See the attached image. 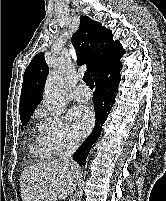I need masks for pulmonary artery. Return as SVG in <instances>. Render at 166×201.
Listing matches in <instances>:
<instances>
[{"label": "pulmonary artery", "instance_id": "pulmonary-artery-1", "mask_svg": "<svg viewBox=\"0 0 166 201\" xmlns=\"http://www.w3.org/2000/svg\"><path fill=\"white\" fill-rule=\"evenodd\" d=\"M74 99L78 102H86L91 99V92L85 85H79L73 93Z\"/></svg>", "mask_w": 166, "mask_h": 201}]
</instances>
